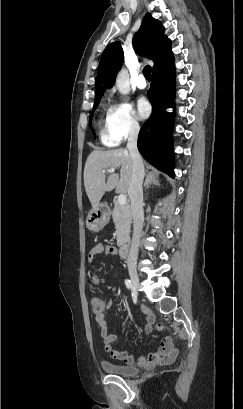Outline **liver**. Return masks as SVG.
Masks as SVG:
<instances>
[{
	"label": "liver",
	"instance_id": "6515ba94",
	"mask_svg": "<svg viewBox=\"0 0 243 409\" xmlns=\"http://www.w3.org/2000/svg\"><path fill=\"white\" fill-rule=\"evenodd\" d=\"M120 168L118 174L106 176L103 170ZM132 177V159L126 149L94 150L88 156L84 168V186L92 208L99 205L105 192L113 189L126 193Z\"/></svg>",
	"mask_w": 243,
	"mask_h": 409
}]
</instances>
